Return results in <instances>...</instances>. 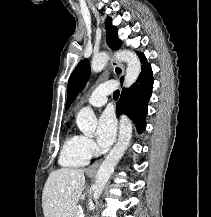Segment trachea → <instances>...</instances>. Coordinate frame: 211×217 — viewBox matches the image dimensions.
Masks as SVG:
<instances>
[{
	"label": "trachea",
	"instance_id": "1",
	"mask_svg": "<svg viewBox=\"0 0 211 217\" xmlns=\"http://www.w3.org/2000/svg\"><path fill=\"white\" fill-rule=\"evenodd\" d=\"M119 94H120L119 90H116V91L113 93V97H114V98H118V97H119Z\"/></svg>",
	"mask_w": 211,
	"mask_h": 217
}]
</instances>
